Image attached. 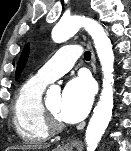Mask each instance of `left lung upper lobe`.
Segmentation results:
<instances>
[{"mask_svg": "<svg viewBox=\"0 0 131 151\" xmlns=\"http://www.w3.org/2000/svg\"><path fill=\"white\" fill-rule=\"evenodd\" d=\"M28 55H29V44H27L25 46V48L23 49L22 54L20 56V59H19L18 65H17V69H16V74H15L16 79L21 74V72L27 62Z\"/></svg>", "mask_w": 131, "mask_h": 151, "instance_id": "5c2ea615", "label": "left lung upper lobe"}]
</instances>
